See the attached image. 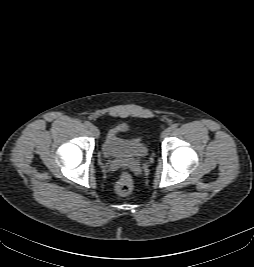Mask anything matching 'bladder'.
Segmentation results:
<instances>
[{"instance_id": "1", "label": "bladder", "mask_w": 254, "mask_h": 267, "mask_svg": "<svg viewBox=\"0 0 254 267\" xmlns=\"http://www.w3.org/2000/svg\"><path fill=\"white\" fill-rule=\"evenodd\" d=\"M124 124L111 128L103 141L102 153L109 159H141L148 153V148L140 137L127 138Z\"/></svg>"}]
</instances>
